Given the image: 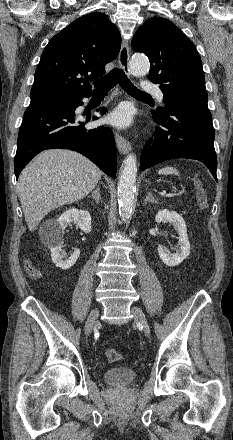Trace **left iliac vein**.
<instances>
[{"mask_svg": "<svg viewBox=\"0 0 233 440\" xmlns=\"http://www.w3.org/2000/svg\"><path fill=\"white\" fill-rule=\"evenodd\" d=\"M131 312L134 315L135 320L139 324L142 325L145 336L149 337L150 336V327H149L147 319H146L144 313L142 312V310L133 306V307H131Z\"/></svg>", "mask_w": 233, "mask_h": 440, "instance_id": "left-iliac-vein-1", "label": "left iliac vein"}]
</instances>
